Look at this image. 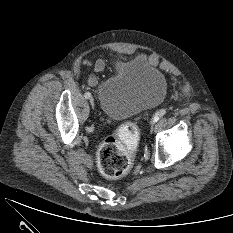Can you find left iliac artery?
<instances>
[{
	"instance_id": "left-iliac-artery-1",
	"label": "left iliac artery",
	"mask_w": 233,
	"mask_h": 233,
	"mask_svg": "<svg viewBox=\"0 0 233 233\" xmlns=\"http://www.w3.org/2000/svg\"><path fill=\"white\" fill-rule=\"evenodd\" d=\"M166 114V110L165 109H161L159 111H157L153 117V122H157L162 116H164Z\"/></svg>"
}]
</instances>
